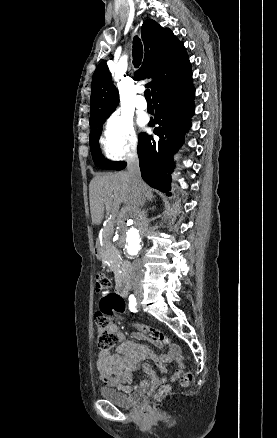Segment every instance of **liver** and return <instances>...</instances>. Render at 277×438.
Here are the masks:
<instances>
[{
	"mask_svg": "<svg viewBox=\"0 0 277 438\" xmlns=\"http://www.w3.org/2000/svg\"><path fill=\"white\" fill-rule=\"evenodd\" d=\"M90 212L92 224H101L105 210H110V206L119 208L120 204H125L119 218L125 220L126 210H135L136 218L140 214V208L145 204V200L152 202L153 192L149 186L142 184L140 190H132L127 172H118L112 176H96L90 182Z\"/></svg>",
	"mask_w": 277,
	"mask_h": 438,
	"instance_id": "liver-1",
	"label": "liver"
}]
</instances>
